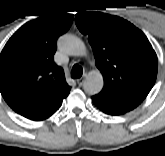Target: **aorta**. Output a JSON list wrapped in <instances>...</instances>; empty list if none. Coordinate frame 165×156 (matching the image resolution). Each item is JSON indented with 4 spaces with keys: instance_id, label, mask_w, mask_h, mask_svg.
<instances>
[{
    "instance_id": "obj_1",
    "label": "aorta",
    "mask_w": 165,
    "mask_h": 156,
    "mask_svg": "<svg viewBox=\"0 0 165 156\" xmlns=\"http://www.w3.org/2000/svg\"><path fill=\"white\" fill-rule=\"evenodd\" d=\"M60 49L71 56H85L87 49L83 41L73 35H65L60 39ZM104 80L99 72L91 73L84 81V91L90 95L99 93L103 88Z\"/></svg>"
}]
</instances>
